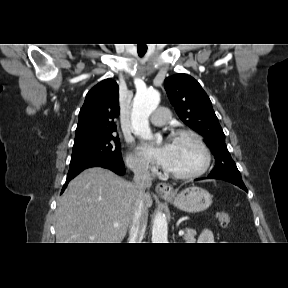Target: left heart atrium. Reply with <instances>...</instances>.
<instances>
[{
    "instance_id": "1",
    "label": "left heart atrium",
    "mask_w": 288,
    "mask_h": 288,
    "mask_svg": "<svg viewBox=\"0 0 288 288\" xmlns=\"http://www.w3.org/2000/svg\"><path fill=\"white\" fill-rule=\"evenodd\" d=\"M140 151L147 158L153 160L158 165L165 167L170 157L171 144L164 143L162 145L155 146L150 143H143L140 146Z\"/></svg>"
}]
</instances>
